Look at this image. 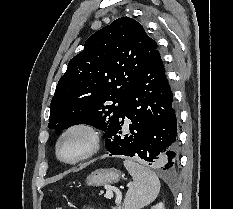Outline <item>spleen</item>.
Returning <instances> with one entry per match:
<instances>
[{
	"label": "spleen",
	"instance_id": "3e777b00",
	"mask_svg": "<svg viewBox=\"0 0 233 209\" xmlns=\"http://www.w3.org/2000/svg\"><path fill=\"white\" fill-rule=\"evenodd\" d=\"M124 166L133 177V182L129 186L121 208L141 209L157 198L160 191L159 178L154 172L134 160L125 159Z\"/></svg>",
	"mask_w": 233,
	"mask_h": 209
}]
</instances>
